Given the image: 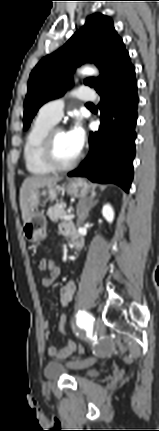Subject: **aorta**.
Returning a JSON list of instances; mask_svg holds the SVG:
<instances>
[{
	"label": "aorta",
	"instance_id": "1",
	"mask_svg": "<svg viewBox=\"0 0 159 431\" xmlns=\"http://www.w3.org/2000/svg\"><path fill=\"white\" fill-rule=\"evenodd\" d=\"M80 72L84 75H96L97 74V71L93 68H90V67H84L81 69Z\"/></svg>",
	"mask_w": 159,
	"mask_h": 431
}]
</instances>
